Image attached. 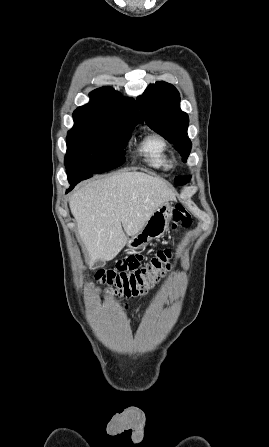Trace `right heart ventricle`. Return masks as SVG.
Returning a JSON list of instances; mask_svg holds the SVG:
<instances>
[{
	"instance_id": "e07e8e85",
	"label": "right heart ventricle",
	"mask_w": 269,
	"mask_h": 447,
	"mask_svg": "<svg viewBox=\"0 0 269 447\" xmlns=\"http://www.w3.org/2000/svg\"><path fill=\"white\" fill-rule=\"evenodd\" d=\"M141 151L146 156V161L149 165L162 170H167L171 167V160L167 153V143L161 136L154 135L148 138L144 142Z\"/></svg>"
}]
</instances>
